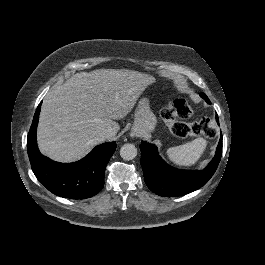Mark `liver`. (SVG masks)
I'll return each mask as SVG.
<instances>
[{
    "label": "liver",
    "mask_w": 265,
    "mask_h": 265,
    "mask_svg": "<svg viewBox=\"0 0 265 265\" xmlns=\"http://www.w3.org/2000/svg\"><path fill=\"white\" fill-rule=\"evenodd\" d=\"M155 80L131 69L77 72L43 99L36 131L39 152L59 163H73L104 143L103 132L120 125L144 88ZM112 140H115L112 139Z\"/></svg>",
    "instance_id": "liver-1"
}]
</instances>
